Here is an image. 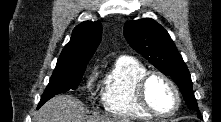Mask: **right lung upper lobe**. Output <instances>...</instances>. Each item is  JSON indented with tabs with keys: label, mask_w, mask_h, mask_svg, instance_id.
I'll return each mask as SVG.
<instances>
[{
	"label": "right lung upper lobe",
	"mask_w": 221,
	"mask_h": 122,
	"mask_svg": "<svg viewBox=\"0 0 221 122\" xmlns=\"http://www.w3.org/2000/svg\"><path fill=\"white\" fill-rule=\"evenodd\" d=\"M101 33L102 26L99 21H86L76 26L71 40L60 54L56 68L86 67L101 41Z\"/></svg>",
	"instance_id": "right-lung-upper-lobe-1"
}]
</instances>
